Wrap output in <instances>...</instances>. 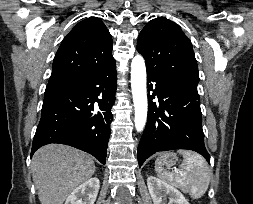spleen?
Wrapping results in <instances>:
<instances>
[{"label": "spleen", "mask_w": 253, "mask_h": 204, "mask_svg": "<svg viewBox=\"0 0 253 204\" xmlns=\"http://www.w3.org/2000/svg\"><path fill=\"white\" fill-rule=\"evenodd\" d=\"M183 156V162L179 169L170 171L163 168V161L166 154L161 155L155 162V171L160 179L189 193L191 197L197 199L202 197L211 180V170L206 160L198 153L179 150Z\"/></svg>", "instance_id": "3e777b00"}]
</instances>
